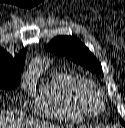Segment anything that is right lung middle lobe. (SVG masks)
I'll return each mask as SVG.
<instances>
[{
	"label": "right lung middle lobe",
	"instance_id": "right-lung-middle-lobe-1",
	"mask_svg": "<svg viewBox=\"0 0 125 128\" xmlns=\"http://www.w3.org/2000/svg\"><path fill=\"white\" fill-rule=\"evenodd\" d=\"M21 79V71L0 69V88L5 90L17 87Z\"/></svg>",
	"mask_w": 125,
	"mask_h": 128
}]
</instances>
